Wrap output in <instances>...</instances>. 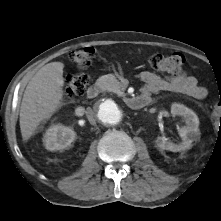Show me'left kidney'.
I'll return each mask as SVG.
<instances>
[{
	"label": "left kidney",
	"instance_id": "1",
	"mask_svg": "<svg viewBox=\"0 0 221 221\" xmlns=\"http://www.w3.org/2000/svg\"><path fill=\"white\" fill-rule=\"evenodd\" d=\"M171 114L173 116H181L185 120L186 125L178 130L182 142L174 144L167 141L165 137H157V146L163 150H169L172 152H180L190 149L192 142L195 141L200 134L198 116L191 109L178 103L172 104Z\"/></svg>",
	"mask_w": 221,
	"mask_h": 221
}]
</instances>
